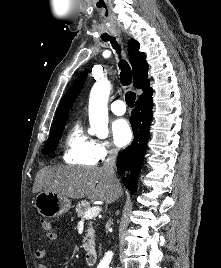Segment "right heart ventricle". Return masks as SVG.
<instances>
[{
  "mask_svg": "<svg viewBox=\"0 0 221 268\" xmlns=\"http://www.w3.org/2000/svg\"><path fill=\"white\" fill-rule=\"evenodd\" d=\"M62 158L65 163L78 166H93L97 163L94 139L84 132L81 122H76L67 133Z\"/></svg>",
  "mask_w": 221,
  "mask_h": 268,
  "instance_id": "obj_1",
  "label": "right heart ventricle"
}]
</instances>
